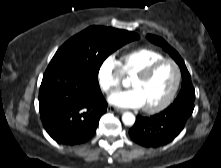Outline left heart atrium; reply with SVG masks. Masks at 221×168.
<instances>
[{
  "label": "left heart atrium",
  "mask_w": 221,
  "mask_h": 168,
  "mask_svg": "<svg viewBox=\"0 0 221 168\" xmlns=\"http://www.w3.org/2000/svg\"><path fill=\"white\" fill-rule=\"evenodd\" d=\"M109 102L122 108H140L143 107V101L137 90L131 89L122 92H116L109 97Z\"/></svg>",
  "instance_id": "39dd6f15"
}]
</instances>
